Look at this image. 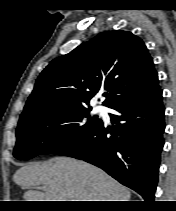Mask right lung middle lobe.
I'll return each instance as SVG.
<instances>
[{
  "instance_id": "1",
  "label": "right lung middle lobe",
  "mask_w": 176,
  "mask_h": 211,
  "mask_svg": "<svg viewBox=\"0 0 176 211\" xmlns=\"http://www.w3.org/2000/svg\"><path fill=\"white\" fill-rule=\"evenodd\" d=\"M90 110L86 106L51 109L20 118L14 157L30 159L77 144L102 122L98 116H91Z\"/></svg>"
}]
</instances>
